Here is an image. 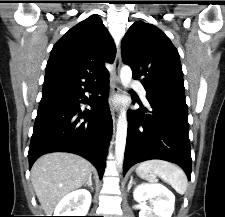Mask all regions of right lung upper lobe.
Listing matches in <instances>:
<instances>
[{
	"label": "right lung upper lobe",
	"mask_w": 225,
	"mask_h": 217,
	"mask_svg": "<svg viewBox=\"0 0 225 217\" xmlns=\"http://www.w3.org/2000/svg\"><path fill=\"white\" fill-rule=\"evenodd\" d=\"M113 40L93 15L72 27L53 46L46 66L42 98L90 90L108 76L104 63L114 61Z\"/></svg>",
	"instance_id": "1"
}]
</instances>
